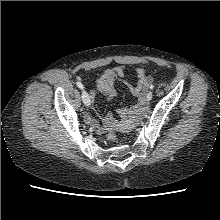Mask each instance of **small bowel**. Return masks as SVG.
Wrapping results in <instances>:
<instances>
[{
    "label": "small bowel",
    "instance_id": "small-bowel-1",
    "mask_svg": "<svg viewBox=\"0 0 220 220\" xmlns=\"http://www.w3.org/2000/svg\"><path fill=\"white\" fill-rule=\"evenodd\" d=\"M134 73L137 77L136 85H129L128 88L130 92L139 96V104L136 107L137 110H143L145 107V92L146 89L153 83L151 76L147 74L144 67H137L134 69ZM126 71L123 67L109 68L103 71L100 77L96 81L95 88L90 90V98L94 99L96 94L102 95L105 99H112L116 95V88L114 85L115 79H125ZM85 120L88 124L103 129L109 124L110 117L107 118L103 124H99L95 117L91 114L85 116Z\"/></svg>",
    "mask_w": 220,
    "mask_h": 220
}]
</instances>
